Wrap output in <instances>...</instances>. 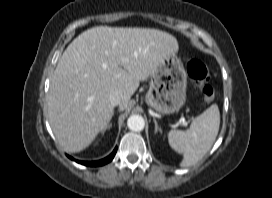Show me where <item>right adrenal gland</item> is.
<instances>
[{
  "label": "right adrenal gland",
  "instance_id": "2a0ac1e0",
  "mask_svg": "<svg viewBox=\"0 0 272 198\" xmlns=\"http://www.w3.org/2000/svg\"><path fill=\"white\" fill-rule=\"evenodd\" d=\"M111 127H112V124L110 123V124L105 128V130H109Z\"/></svg>",
  "mask_w": 272,
  "mask_h": 198
}]
</instances>
